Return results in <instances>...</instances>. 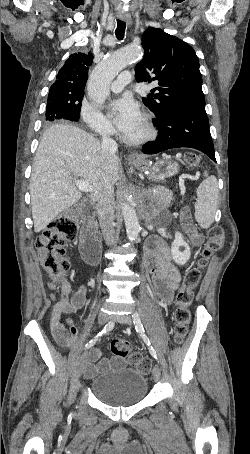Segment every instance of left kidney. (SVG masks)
<instances>
[{
    "mask_svg": "<svg viewBox=\"0 0 250 454\" xmlns=\"http://www.w3.org/2000/svg\"><path fill=\"white\" fill-rule=\"evenodd\" d=\"M181 248L184 249L181 250ZM171 254L173 260L179 265L186 264V262L190 259V247L187 242H185L180 232H175V240L171 245Z\"/></svg>",
    "mask_w": 250,
    "mask_h": 454,
    "instance_id": "left-kidney-1",
    "label": "left kidney"
}]
</instances>
